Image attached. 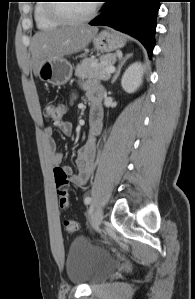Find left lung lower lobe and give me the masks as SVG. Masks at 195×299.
<instances>
[{
    "instance_id": "obj_1",
    "label": "left lung lower lobe",
    "mask_w": 195,
    "mask_h": 299,
    "mask_svg": "<svg viewBox=\"0 0 195 299\" xmlns=\"http://www.w3.org/2000/svg\"><path fill=\"white\" fill-rule=\"evenodd\" d=\"M161 0H105L102 13L90 25H107L137 38L149 55L154 48Z\"/></svg>"
}]
</instances>
